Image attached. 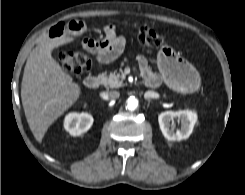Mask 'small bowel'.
Here are the masks:
<instances>
[{
  "instance_id": "1",
  "label": "small bowel",
  "mask_w": 245,
  "mask_h": 195,
  "mask_svg": "<svg viewBox=\"0 0 245 195\" xmlns=\"http://www.w3.org/2000/svg\"><path fill=\"white\" fill-rule=\"evenodd\" d=\"M85 29L86 26L83 22L73 20L55 25L51 29L50 35L53 38H58L65 33L80 34L84 32ZM103 31L104 37L100 40L85 38L82 41L83 47L96 56V60L99 64H106L118 58L126 44L125 38L116 33L114 26L109 24L105 25ZM138 63L141 71L145 75L150 74L157 76L151 72L145 56L140 55L138 57Z\"/></svg>"
}]
</instances>
